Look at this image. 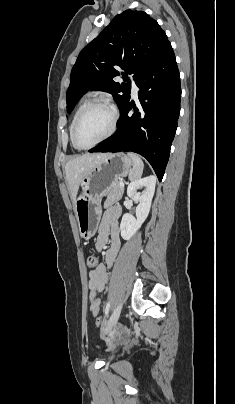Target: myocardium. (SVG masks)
I'll use <instances>...</instances> for the list:
<instances>
[{"mask_svg": "<svg viewBox=\"0 0 235 404\" xmlns=\"http://www.w3.org/2000/svg\"><path fill=\"white\" fill-rule=\"evenodd\" d=\"M95 107H106L111 111V113H112L111 127H110L109 131L106 133V135H104L97 142H95L91 145H88V146H83L78 142V139H77L78 126H79L81 120L83 119V117L87 114V112H89L91 109H93ZM118 119H119V111H118L117 107L114 104H112L111 102H109L107 100H102V99L89 102L84 107V109L79 113V115L77 116V118L75 120L73 130H72V141H73L74 145L78 149L88 150V149H91V148L97 146L98 144L106 141L115 133L116 128H117Z\"/></svg>", "mask_w": 235, "mask_h": 404, "instance_id": "1", "label": "myocardium"}]
</instances>
